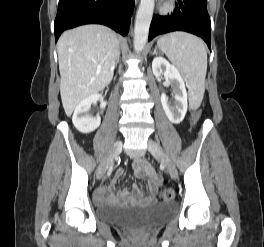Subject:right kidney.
Returning a JSON list of instances; mask_svg holds the SVG:
<instances>
[{
  "mask_svg": "<svg viewBox=\"0 0 264 247\" xmlns=\"http://www.w3.org/2000/svg\"><path fill=\"white\" fill-rule=\"evenodd\" d=\"M98 100L101 101L100 107L104 109L106 107V102L103 100L101 94H93L82 100L76 106L74 114L72 116V122L75 128L81 133H90L100 126V116H93L89 112L91 105L93 103H96Z\"/></svg>",
  "mask_w": 264,
  "mask_h": 247,
  "instance_id": "obj_1",
  "label": "right kidney"
}]
</instances>
